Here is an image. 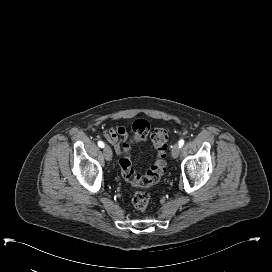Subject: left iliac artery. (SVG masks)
Instances as JSON below:
<instances>
[{
  "instance_id": "1",
  "label": "left iliac artery",
  "mask_w": 272,
  "mask_h": 272,
  "mask_svg": "<svg viewBox=\"0 0 272 272\" xmlns=\"http://www.w3.org/2000/svg\"><path fill=\"white\" fill-rule=\"evenodd\" d=\"M179 146H180V148L184 145V140L183 139H181L180 141H179Z\"/></svg>"
}]
</instances>
